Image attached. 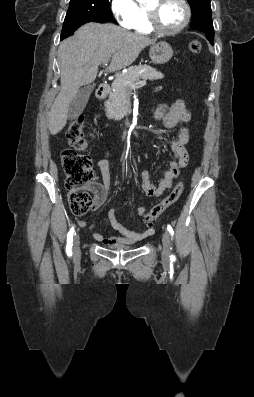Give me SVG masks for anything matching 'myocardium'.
Wrapping results in <instances>:
<instances>
[{"mask_svg":"<svg viewBox=\"0 0 254 397\" xmlns=\"http://www.w3.org/2000/svg\"><path fill=\"white\" fill-rule=\"evenodd\" d=\"M158 1L161 2L163 0H158ZM177 1L182 5L184 9V17L180 25H178L173 29L162 28L157 22L155 11L152 8L149 7L146 8L148 25L152 31L162 35H175L186 28V26L190 21L191 8L186 0H177Z\"/></svg>","mask_w":254,"mask_h":397,"instance_id":"1","label":"myocardium"}]
</instances>
